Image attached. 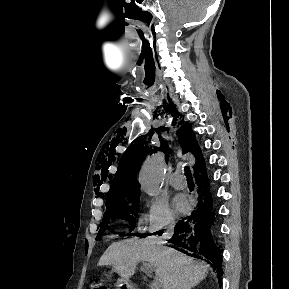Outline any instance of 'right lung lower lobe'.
Returning <instances> with one entry per match:
<instances>
[{"mask_svg": "<svg viewBox=\"0 0 289 289\" xmlns=\"http://www.w3.org/2000/svg\"><path fill=\"white\" fill-rule=\"evenodd\" d=\"M198 198L191 214L178 221L175 232L169 242L178 245L181 252L199 258L204 257L206 262L217 271L221 280L222 255L217 242V227L212 211V198L209 191V182L206 172L196 177ZM161 235L162 232L158 231Z\"/></svg>", "mask_w": 289, "mask_h": 289, "instance_id": "98d812e1", "label": "right lung lower lobe"}]
</instances>
